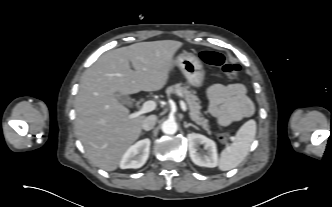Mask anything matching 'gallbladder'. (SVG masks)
Listing matches in <instances>:
<instances>
[{"label":"gallbladder","instance_id":"1","mask_svg":"<svg viewBox=\"0 0 332 207\" xmlns=\"http://www.w3.org/2000/svg\"><path fill=\"white\" fill-rule=\"evenodd\" d=\"M118 99L120 102H122L125 105H130L133 102V100L130 97L124 95H119Z\"/></svg>","mask_w":332,"mask_h":207}]
</instances>
